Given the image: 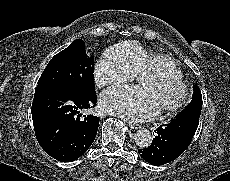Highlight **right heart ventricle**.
Returning <instances> with one entry per match:
<instances>
[{"mask_svg":"<svg viewBox=\"0 0 230 181\" xmlns=\"http://www.w3.org/2000/svg\"><path fill=\"white\" fill-rule=\"evenodd\" d=\"M109 59L127 74L142 75L151 71H165L181 78V71L168 56L151 53L139 42L120 44L109 51Z\"/></svg>","mask_w":230,"mask_h":181,"instance_id":"obj_1","label":"right heart ventricle"}]
</instances>
